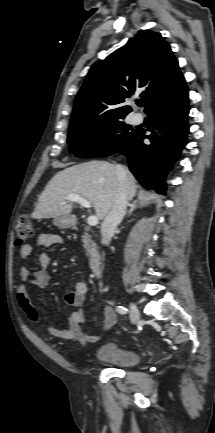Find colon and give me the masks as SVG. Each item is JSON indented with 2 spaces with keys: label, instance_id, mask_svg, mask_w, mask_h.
I'll list each match as a JSON object with an SVG mask.
<instances>
[{
  "label": "colon",
  "instance_id": "colon-1",
  "mask_svg": "<svg viewBox=\"0 0 215 433\" xmlns=\"http://www.w3.org/2000/svg\"><path fill=\"white\" fill-rule=\"evenodd\" d=\"M16 244L21 245L34 234L32 220L28 215L21 214L15 220Z\"/></svg>",
  "mask_w": 215,
  "mask_h": 433
}]
</instances>
